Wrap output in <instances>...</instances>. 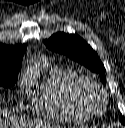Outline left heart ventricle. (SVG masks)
Listing matches in <instances>:
<instances>
[{
	"label": "left heart ventricle",
	"mask_w": 125,
	"mask_h": 128,
	"mask_svg": "<svg viewBox=\"0 0 125 128\" xmlns=\"http://www.w3.org/2000/svg\"><path fill=\"white\" fill-rule=\"evenodd\" d=\"M91 98L94 101V105L98 106V97L96 96L95 93H91Z\"/></svg>",
	"instance_id": "1"
}]
</instances>
